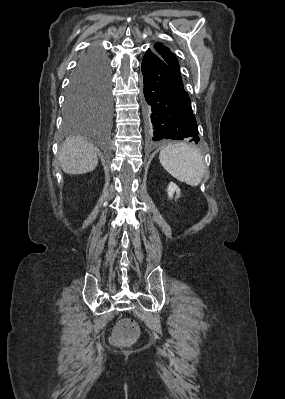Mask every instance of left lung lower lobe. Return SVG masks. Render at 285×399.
Here are the masks:
<instances>
[{
  "mask_svg": "<svg viewBox=\"0 0 285 399\" xmlns=\"http://www.w3.org/2000/svg\"><path fill=\"white\" fill-rule=\"evenodd\" d=\"M141 68L151 139L191 138L198 143L197 122L180 72L151 49L143 57Z\"/></svg>",
  "mask_w": 285,
  "mask_h": 399,
  "instance_id": "left-lung-lower-lobe-1",
  "label": "left lung lower lobe"
}]
</instances>
